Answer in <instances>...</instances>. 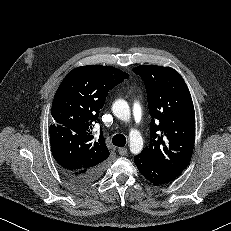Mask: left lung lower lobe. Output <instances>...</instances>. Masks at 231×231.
Returning <instances> with one entry per match:
<instances>
[{"label":"left lung lower lobe","instance_id":"0a47b994","mask_svg":"<svg viewBox=\"0 0 231 231\" xmlns=\"http://www.w3.org/2000/svg\"><path fill=\"white\" fill-rule=\"evenodd\" d=\"M134 162L139 171L155 185L166 184L176 179L182 173V171L159 167L141 155L135 156Z\"/></svg>","mask_w":231,"mask_h":231}]
</instances>
